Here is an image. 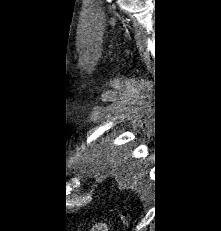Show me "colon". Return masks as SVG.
<instances>
[{"label":"colon","mask_w":221,"mask_h":231,"mask_svg":"<svg viewBox=\"0 0 221 231\" xmlns=\"http://www.w3.org/2000/svg\"><path fill=\"white\" fill-rule=\"evenodd\" d=\"M120 219L124 227L128 225V213L126 211H122L120 214Z\"/></svg>","instance_id":"obj_1"}]
</instances>
